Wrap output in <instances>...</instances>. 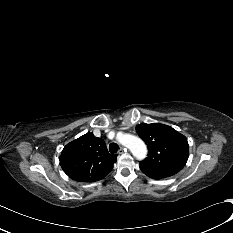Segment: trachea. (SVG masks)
<instances>
[{"instance_id": "trachea-1", "label": "trachea", "mask_w": 233, "mask_h": 233, "mask_svg": "<svg viewBox=\"0 0 233 233\" xmlns=\"http://www.w3.org/2000/svg\"><path fill=\"white\" fill-rule=\"evenodd\" d=\"M118 149H119V146L116 144V143H111L110 145H109V151H110V153H116L117 151H118Z\"/></svg>"}]
</instances>
